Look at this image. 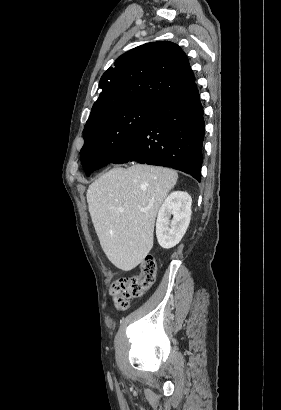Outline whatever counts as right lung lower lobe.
<instances>
[{"instance_id": "obj_1", "label": "right lung lower lobe", "mask_w": 281, "mask_h": 410, "mask_svg": "<svg viewBox=\"0 0 281 410\" xmlns=\"http://www.w3.org/2000/svg\"><path fill=\"white\" fill-rule=\"evenodd\" d=\"M204 111L198 89L158 107L138 137L112 163L171 167L201 180Z\"/></svg>"}]
</instances>
